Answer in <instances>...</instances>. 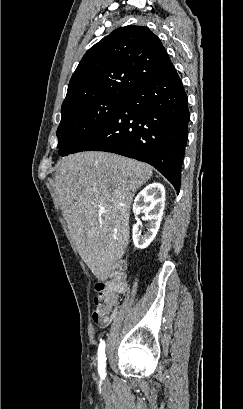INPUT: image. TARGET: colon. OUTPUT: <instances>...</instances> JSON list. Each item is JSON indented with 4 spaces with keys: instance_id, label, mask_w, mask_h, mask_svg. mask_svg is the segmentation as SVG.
<instances>
[{
    "instance_id": "obj_1",
    "label": "colon",
    "mask_w": 243,
    "mask_h": 409,
    "mask_svg": "<svg viewBox=\"0 0 243 409\" xmlns=\"http://www.w3.org/2000/svg\"><path fill=\"white\" fill-rule=\"evenodd\" d=\"M125 262L115 264L111 278L108 281L99 282L95 286L94 321L101 326L107 325L115 316L119 296L126 290Z\"/></svg>"
}]
</instances>
